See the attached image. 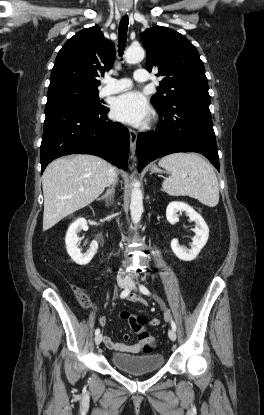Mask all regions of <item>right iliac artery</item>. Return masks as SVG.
<instances>
[{
	"instance_id": "obj_1",
	"label": "right iliac artery",
	"mask_w": 264,
	"mask_h": 415,
	"mask_svg": "<svg viewBox=\"0 0 264 415\" xmlns=\"http://www.w3.org/2000/svg\"><path fill=\"white\" fill-rule=\"evenodd\" d=\"M129 293H130V289L129 288H126L125 290H123L122 292H121V294H120V298H125V297H127L128 295H129ZM100 333V329L99 328H97L96 330H95V335H98Z\"/></svg>"
}]
</instances>
